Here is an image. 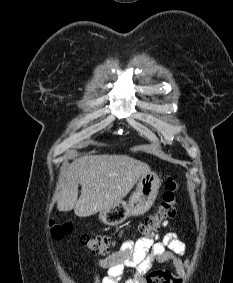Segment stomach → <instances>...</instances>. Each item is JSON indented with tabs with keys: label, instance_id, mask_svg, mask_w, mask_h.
<instances>
[{
	"label": "stomach",
	"instance_id": "1",
	"mask_svg": "<svg viewBox=\"0 0 233 283\" xmlns=\"http://www.w3.org/2000/svg\"><path fill=\"white\" fill-rule=\"evenodd\" d=\"M160 186L159 176L149 170L139 178L136 191L128 202L120 201L113 207L100 211V220L106 225L117 226L130 216L143 215L154 204Z\"/></svg>",
	"mask_w": 233,
	"mask_h": 283
}]
</instances>
